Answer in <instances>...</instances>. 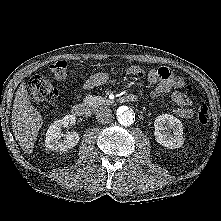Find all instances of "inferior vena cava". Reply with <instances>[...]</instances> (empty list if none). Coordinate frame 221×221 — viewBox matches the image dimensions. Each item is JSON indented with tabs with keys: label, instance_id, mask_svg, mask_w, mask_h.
Listing matches in <instances>:
<instances>
[{
	"label": "inferior vena cava",
	"instance_id": "1",
	"mask_svg": "<svg viewBox=\"0 0 221 221\" xmlns=\"http://www.w3.org/2000/svg\"><path fill=\"white\" fill-rule=\"evenodd\" d=\"M96 119L100 123H107L112 118V111L107 106H100L95 111Z\"/></svg>",
	"mask_w": 221,
	"mask_h": 221
}]
</instances>
